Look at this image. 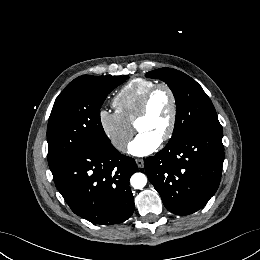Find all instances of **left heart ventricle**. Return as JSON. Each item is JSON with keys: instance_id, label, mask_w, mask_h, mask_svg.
I'll return each mask as SVG.
<instances>
[{"instance_id": "left-heart-ventricle-1", "label": "left heart ventricle", "mask_w": 260, "mask_h": 260, "mask_svg": "<svg viewBox=\"0 0 260 260\" xmlns=\"http://www.w3.org/2000/svg\"><path fill=\"white\" fill-rule=\"evenodd\" d=\"M170 115V96L165 90H160L153 96L148 114L137 122L136 130L139 133H149L161 140L167 130Z\"/></svg>"}]
</instances>
